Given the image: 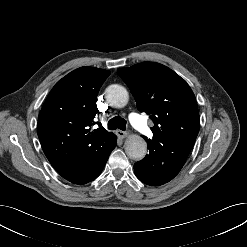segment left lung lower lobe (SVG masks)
<instances>
[{"mask_svg":"<svg viewBox=\"0 0 247 247\" xmlns=\"http://www.w3.org/2000/svg\"><path fill=\"white\" fill-rule=\"evenodd\" d=\"M149 154L134 164L137 178L145 184L159 186L172 180L183 167L192 147L182 142L159 144L145 137Z\"/></svg>","mask_w":247,"mask_h":247,"instance_id":"1","label":"left lung lower lobe"}]
</instances>
